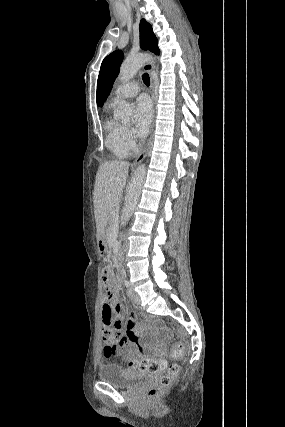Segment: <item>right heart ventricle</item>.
I'll return each mask as SVG.
<instances>
[{
	"label": "right heart ventricle",
	"mask_w": 285,
	"mask_h": 427,
	"mask_svg": "<svg viewBox=\"0 0 285 427\" xmlns=\"http://www.w3.org/2000/svg\"><path fill=\"white\" fill-rule=\"evenodd\" d=\"M113 107L114 104L107 107L108 115L104 123V129L106 132L105 144L114 157L126 158L131 154L133 149L125 141V126L109 115V112Z\"/></svg>",
	"instance_id": "e07e8e85"
}]
</instances>
